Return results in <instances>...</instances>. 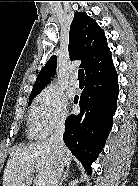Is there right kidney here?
I'll list each match as a JSON object with an SVG mask.
<instances>
[{"label":"right kidney","instance_id":"1","mask_svg":"<svg viewBox=\"0 0 138 186\" xmlns=\"http://www.w3.org/2000/svg\"><path fill=\"white\" fill-rule=\"evenodd\" d=\"M78 183V180H73L69 183V186H76V184Z\"/></svg>","mask_w":138,"mask_h":186}]
</instances>
